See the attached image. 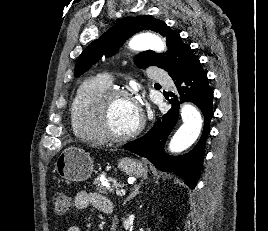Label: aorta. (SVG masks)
<instances>
[{"instance_id": "1", "label": "aorta", "mask_w": 268, "mask_h": 231, "mask_svg": "<svg viewBox=\"0 0 268 231\" xmlns=\"http://www.w3.org/2000/svg\"><path fill=\"white\" fill-rule=\"evenodd\" d=\"M129 47L135 51L151 49L162 52L166 49V44L159 36L145 33L134 36L129 42ZM181 117L183 124L175 132L169 143V150L175 153L189 148L197 140L202 128L201 114L193 105H183Z\"/></svg>"}]
</instances>
